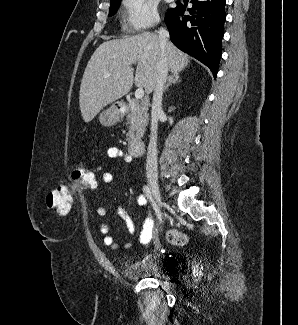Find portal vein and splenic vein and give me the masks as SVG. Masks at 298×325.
Wrapping results in <instances>:
<instances>
[{
    "label": "portal vein and splenic vein",
    "instance_id": "1",
    "mask_svg": "<svg viewBox=\"0 0 298 325\" xmlns=\"http://www.w3.org/2000/svg\"><path fill=\"white\" fill-rule=\"evenodd\" d=\"M107 76H111V74H107ZM144 96V88H136L135 90V98L136 100H139V98H143Z\"/></svg>",
    "mask_w": 298,
    "mask_h": 325
}]
</instances>
